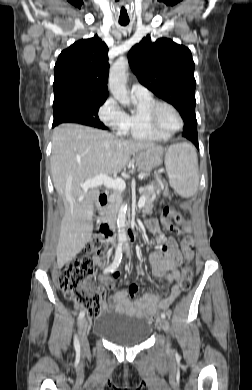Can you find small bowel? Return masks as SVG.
Returning <instances> with one entry per match:
<instances>
[{"instance_id":"1","label":"small bowel","mask_w":252,"mask_h":390,"mask_svg":"<svg viewBox=\"0 0 252 390\" xmlns=\"http://www.w3.org/2000/svg\"><path fill=\"white\" fill-rule=\"evenodd\" d=\"M146 227L157 240L155 249L149 255L152 274L169 285V293L163 297L167 287L160 285L158 292L146 291L139 298H136L135 293L138 287L137 285H132L129 290L122 289L115 292L108 300L103 298L102 309L105 312L115 311L129 316L148 318L150 314L159 310H168L173 301L178 297L179 286L177 282L180 278L178 267L182 262V255L177 248L176 241L173 238H166L155 220L147 221ZM191 259H193V256ZM95 263L100 267H104L107 264V260L98 257L95 259ZM98 284L101 290L104 288L109 290L115 288L114 279L106 275L99 276Z\"/></svg>"}]
</instances>
